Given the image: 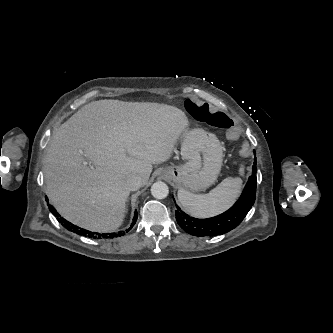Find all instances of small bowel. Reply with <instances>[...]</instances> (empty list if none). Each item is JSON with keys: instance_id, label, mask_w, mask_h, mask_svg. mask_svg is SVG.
I'll use <instances>...</instances> for the list:
<instances>
[{"instance_id": "c3829d8e", "label": "small bowel", "mask_w": 333, "mask_h": 333, "mask_svg": "<svg viewBox=\"0 0 333 333\" xmlns=\"http://www.w3.org/2000/svg\"><path fill=\"white\" fill-rule=\"evenodd\" d=\"M224 140L227 143H234L237 140V133L234 130H227L224 133ZM240 152L242 155L247 156L251 152V146L249 143L244 142L240 146Z\"/></svg>"}]
</instances>
